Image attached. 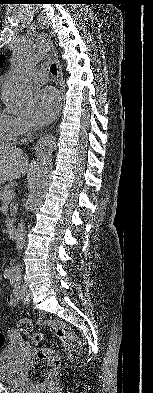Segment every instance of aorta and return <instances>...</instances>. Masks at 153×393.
I'll return each mask as SVG.
<instances>
[{
  "mask_svg": "<svg viewBox=\"0 0 153 393\" xmlns=\"http://www.w3.org/2000/svg\"><path fill=\"white\" fill-rule=\"evenodd\" d=\"M52 41L53 38L48 34L37 33L23 37L14 48L11 60L14 76L5 82L1 89L2 100L9 112L25 113L32 110L35 94L26 79V73L47 55ZM54 147L55 139L48 136L42 137L36 145V166L26 201V209L30 212L42 204L50 186Z\"/></svg>",
  "mask_w": 153,
  "mask_h": 393,
  "instance_id": "762f6f07",
  "label": "aorta"
}]
</instances>
